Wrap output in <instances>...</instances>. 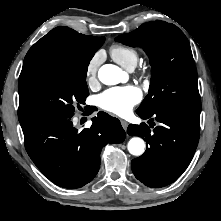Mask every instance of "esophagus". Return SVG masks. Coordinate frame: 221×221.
<instances>
[{
	"label": "esophagus",
	"mask_w": 221,
	"mask_h": 221,
	"mask_svg": "<svg viewBox=\"0 0 221 221\" xmlns=\"http://www.w3.org/2000/svg\"><path fill=\"white\" fill-rule=\"evenodd\" d=\"M121 125L124 128V130H127L128 122H126L125 120H121Z\"/></svg>",
	"instance_id": "esophagus-1"
}]
</instances>
